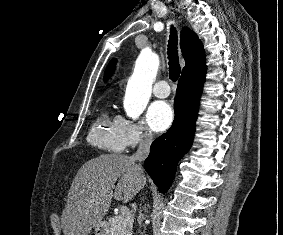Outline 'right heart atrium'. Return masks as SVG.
I'll return each mask as SVG.
<instances>
[{"mask_svg": "<svg viewBox=\"0 0 283 235\" xmlns=\"http://www.w3.org/2000/svg\"><path fill=\"white\" fill-rule=\"evenodd\" d=\"M119 118L127 147H134L152 140V134L144 123L134 122L124 117Z\"/></svg>", "mask_w": 283, "mask_h": 235, "instance_id": "obj_1", "label": "right heart atrium"}]
</instances>
